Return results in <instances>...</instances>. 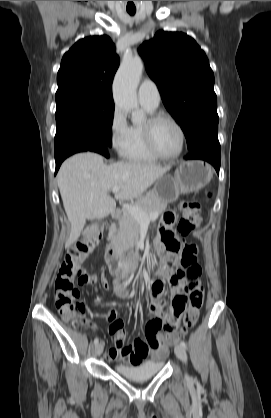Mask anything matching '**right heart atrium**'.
I'll return each instance as SVG.
<instances>
[{
  "instance_id": "1",
  "label": "right heart atrium",
  "mask_w": 271,
  "mask_h": 418,
  "mask_svg": "<svg viewBox=\"0 0 271 418\" xmlns=\"http://www.w3.org/2000/svg\"><path fill=\"white\" fill-rule=\"evenodd\" d=\"M129 126L125 115L119 107H115L110 120V141L112 147L122 152L128 137Z\"/></svg>"
}]
</instances>
